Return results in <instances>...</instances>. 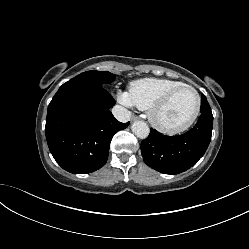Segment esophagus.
<instances>
[{"mask_svg": "<svg viewBox=\"0 0 249 249\" xmlns=\"http://www.w3.org/2000/svg\"><path fill=\"white\" fill-rule=\"evenodd\" d=\"M137 119H138V116H136V115H133L132 118H131L132 121H135Z\"/></svg>", "mask_w": 249, "mask_h": 249, "instance_id": "1", "label": "esophagus"}]
</instances>
